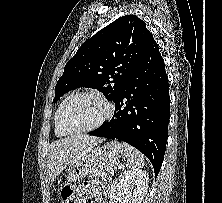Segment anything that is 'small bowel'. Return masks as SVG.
I'll list each match as a JSON object with an SVG mask.
<instances>
[{
	"label": "small bowel",
	"instance_id": "1",
	"mask_svg": "<svg viewBox=\"0 0 222 203\" xmlns=\"http://www.w3.org/2000/svg\"><path fill=\"white\" fill-rule=\"evenodd\" d=\"M104 191V188H93L89 184H84L75 190L73 202L81 203L86 196H92L94 193H96L97 196H101Z\"/></svg>",
	"mask_w": 222,
	"mask_h": 203
}]
</instances>
